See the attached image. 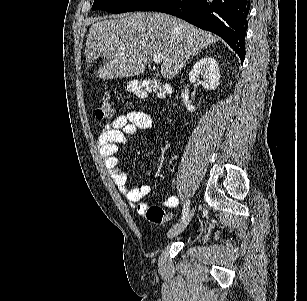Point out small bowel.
<instances>
[{"label": "small bowel", "mask_w": 307, "mask_h": 301, "mask_svg": "<svg viewBox=\"0 0 307 301\" xmlns=\"http://www.w3.org/2000/svg\"><path fill=\"white\" fill-rule=\"evenodd\" d=\"M152 126V120L148 114L139 110H132L118 115L105 125L97 138L100 154L107 166L110 175L124 196L130 207L140 215H144L148 205L141 200L148 196L151 187L147 184L130 187L125 169L119 164L116 157L119 147L128 144V136L140 131H147ZM179 204V198L171 195L164 201V206L173 208Z\"/></svg>", "instance_id": "1"}]
</instances>
